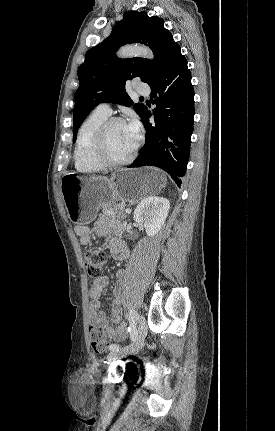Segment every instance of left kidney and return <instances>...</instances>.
<instances>
[{
    "instance_id": "obj_1",
    "label": "left kidney",
    "mask_w": 275,
    "mask_h": 431,
    "mask_svg": "<svg viewBox=\"0 0 275 431\" xmlns=\"http://www.w3.org/2000/svg\"><path fill=\"white\" fill-rule=\"evenodd\" d=\"M169 208L170 203L166 198L150 196L137 205L134 211V220L143 224L147 235L152 237L164 225Z\"/></svg>"
}]
</instances>
